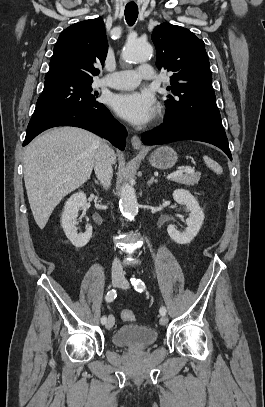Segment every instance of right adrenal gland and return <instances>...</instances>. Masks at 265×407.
I'll list each match as a JSON object with an SVG mask.
<instances>
[{
	"label": "right adrenal gland",
	"instance_id": "2a0ac1e0",
	"mask_svg": "<svg viewBox=\"0 0 265 407\" xmlns=\"http://www.w3.org/2000/svg\"><path fill=\"white\" fill-rule=\"evenodd\" d=\"M95 183H96V184H99V182H98L96 179H95Z\"/></svg>",
	"mask_w": 265,
	"mask_h": 407
}]
</instances>
